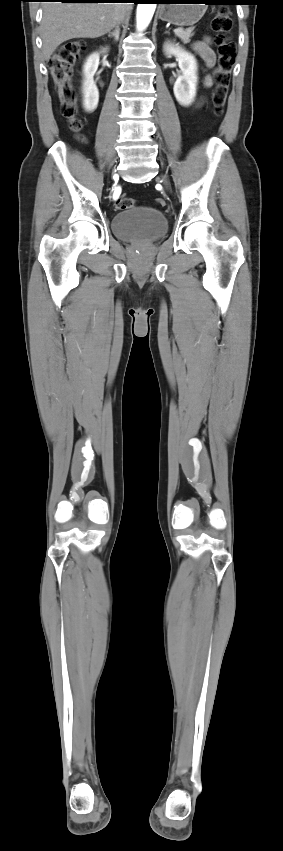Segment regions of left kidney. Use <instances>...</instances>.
Wrapping results in <instances>:
<instances>
[{"instance_id":"obj_1","label":"left kidney","mask_w":283,"mask_h":851,"mask_svg":"<svg viewBox=\"0 0 283 851\" xmlns=\"http://www.w3.org/2000/svg\"><path fill=\"white\" fill-rule=\"evenodd\" d=\"M164 52L168 57L175 56L182 75L175 81L173 91L176 100L183 106H189L196 96L197 62L195 57L178 44L166 42Z\"/></svg>"}]
</instances>
